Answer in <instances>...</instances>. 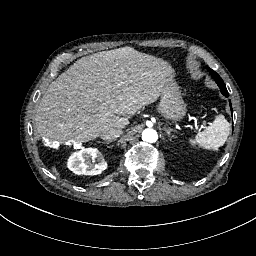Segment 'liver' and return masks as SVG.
<instances>
[{
	"label": "liver",
	"instance_id": "obj_1",
	"mask_svg": "<svg viewBox=\"0 0 256 256\" xmlns=\"http://www.w3.org/2000/svg\"><path fill=\"white\" fill-rule=\"evenodd\" d=\"M174 77L166 61L128 46L82 57L48 86L36 110L37 132L48 144H80L125 128Z\"/></svg>",
	"mask_w": 256,
	"mask_h": 256
}]
</instances>
